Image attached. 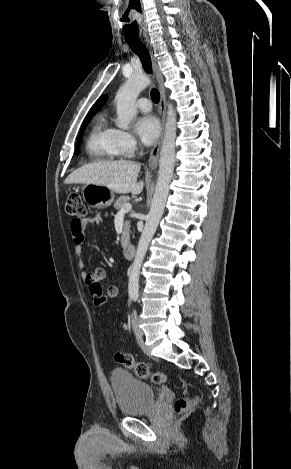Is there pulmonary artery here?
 Segmentation results:
<instances>
[{
  "mask_svg": "<svg viewBox=\"0 0 291 469\" xmlns=\"http://www.w3.org/2000/svg\"><path fill=\"white\" fill-rule=\"evenodd\" d=\"M137 107L143 112H149L151 110V103L147 98H140L137 101Z\"/></svg>",
  "mask_w": 291,
  "mask_h": 469,
  "instance_id": "pulmonary-artery-1",
  "label": "pulmonary artery"
}]
</instances>
